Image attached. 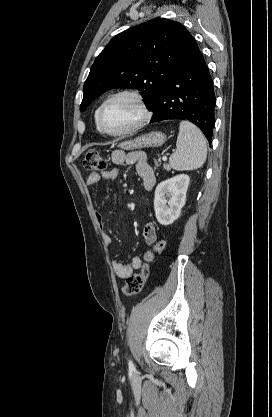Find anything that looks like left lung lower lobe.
I'll return each mask as SVG.
<instances>
[{
  "mask_svg": "<svg viewBox=\"0 0 272 417\" xmlns=\"http://www.w3.org/2000/svg\"><path fill=\"white\" fill-rule=\"evenodd\" d=\"M215 106L213 81L198 50L177 69L158 95L151 122L188 120L197 125L211 142Z\"/></svg>",
  "mask_w": 272,
  "mask_h": 417,
  "instance_id": "obj_1",
  "label": "left lung lower lobe"
}]
</instances>
